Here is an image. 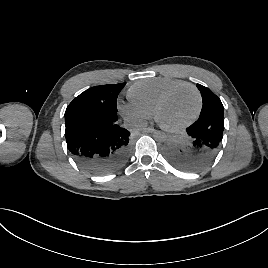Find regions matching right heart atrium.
<instances>
[{"label":"right heart atrium","mask_w":268,"mask_h":268,"mask_svg":"<svg viewBox=\"0 0 268 268\" xmlns=\"http://www.w3.org/2000/svg\"><path fill=\"white\" fill-rule=\"evenodd\" d=\"M121 113L136 124H144L152 115L133 103L122 102L119 106Z\"/></svg>","instance_id":"d8ad5b80"}]
</instances>
